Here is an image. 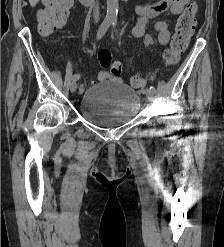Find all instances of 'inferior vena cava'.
Masks as SVG:
<instances>
[{"label":"inferior vena cava","mask_w":224,"mask_h":247,"mask_svg":"<svg viewBox=\"0 0 224 247\" xmlns=\"http://www.w3.org/2000/svg\"><path fill=\"white\" fill-rule=\"evenodd\" d=\"M99 8H98V4H96V8L94 10V18H95V22H99Z\"/></svg>","instance_id":"1"}]
</instances>
